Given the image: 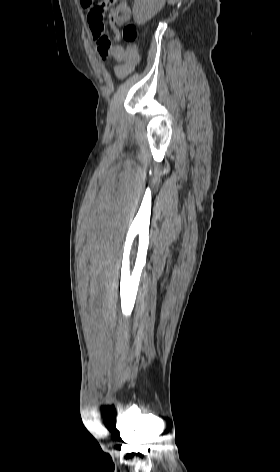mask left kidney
Listing matches in <instances>:
<instances>
[{
    "label": "left kidney",
    "instance_id": "1",
    "mask_svg": "<svg viewBox=\"0 0 280 472\" xmlns=\"http://www.w3.org/2000/svg\"><path fill=\"white\" fill-rule=\"evenodd\" d=\"M161 0H135L133 17L137 24L150 20L162 7Z\"/></svg>",
    "mask_w": 280,
    "mask_h": 472
}]
</instances>
